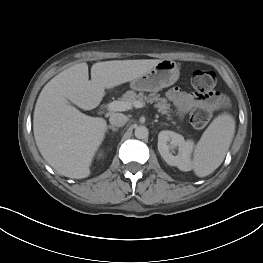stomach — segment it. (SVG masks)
Segmentation results:
<instances>
[{"instance_id":"1","label":"stomach","mask_w":263,"mask_h":263,"mask_svg":"<svg viewBox=\"0 0 263 263\" xmlns=\"http://www.w3.org/2000/svg\"><path fill=\"white\" fill-rule=\"evenodd\" d=\"M179 68L171 59L160 60L152 69L130 82L135 91L158 92L173 85L179 78Z\"/></svg>"}]
</instances>
